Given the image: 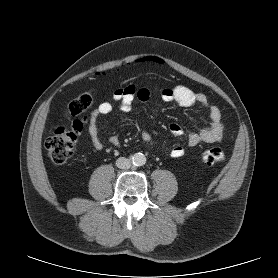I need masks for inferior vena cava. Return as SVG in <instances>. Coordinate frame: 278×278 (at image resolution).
<instances>
[{
    "mask_svg": "<svg viewBox=\"0 0 278 278\" xmlns=\"http://www.w3.org/2000/svg\"><path fill=\"white\" fill-rule=\"evenodd\" d=\"M116 166L120 169H128L131 166V162L129 159H127L125 157H119L116 160Z\"/></svg>",
    "mask_w": 278,
    "mask_h": 278,
    "instance_id": "obj_1",
    "label": "inferior vena cava"
}]
</instances>
